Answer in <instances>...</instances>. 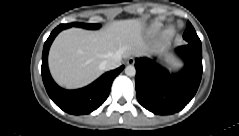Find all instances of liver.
I'll return each instance as SVG.
<instances>
[{"mask_svg":"<svg viewBox=\"0 0 239 136\" xmlns=\"http://www.w3.org/2000/svg\"><path fill=\"white\" fill-rule=\"evenodd\" d=\"M138 19L115 21L102 31L70 28L53 41L48 63L54 80L68 89L84 87L106 70L103 63L115 56L127 58L149 51Z\"/></svg>","mask_w":239,"mask_h":136,"instance_id":"liver-1","label":"liver"}]
</instances>
